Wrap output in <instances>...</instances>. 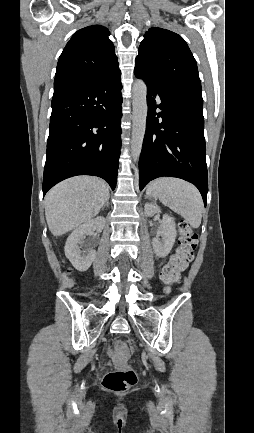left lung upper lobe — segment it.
Masks as SVG:
<instances>
[{
  "instance_id": "5c2ea615",
  "label": "left lung upper lobe",
  "mask_w": 254,
  "mask_h": 433,
  "mask_svg": "<svg viewBox=\"0 0 254 433\" xmlns=\"http://www.w3.org/2000/svg\"><path fill=\"white\" fill-rule=\"evenodd\" d=\"M135 67L159 83L202 96L196 60L178 34L150 28L138 49Z\"/></svg>"
}]
</instances>
